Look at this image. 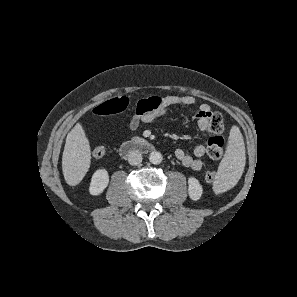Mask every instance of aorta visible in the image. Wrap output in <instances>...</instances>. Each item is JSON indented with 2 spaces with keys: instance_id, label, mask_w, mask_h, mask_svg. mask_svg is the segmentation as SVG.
I'll return each instance as SVG.
<instances>
[{
  "instance_id": "1",
  "label": "aorta",
  "mask_w": 297,
  "mask_h": 297,
  "mask_svg": "<svg viewBox=\"0 0 297 297\" xmlns=\"http://www.w3.org/2000/svg\"><path fill=\"white\" fill-rule=\"evenodd\" d=\"M162 159H163L162 154L157 151H154L149 155V161L155 165L160 164L162 162Z\"/></svg>"
}]
</instances>
